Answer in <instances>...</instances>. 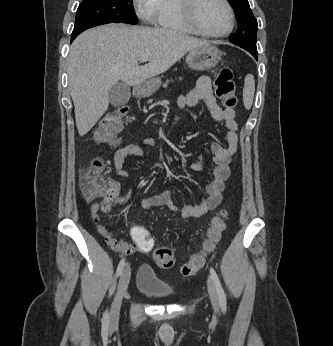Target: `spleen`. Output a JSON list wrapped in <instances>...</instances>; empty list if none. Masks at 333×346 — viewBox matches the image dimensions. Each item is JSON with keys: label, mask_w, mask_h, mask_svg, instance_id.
I'll use <instances>...</instances> for the list:
<instances>
[{"label": "spleen", "mask_w": 333, "mask_h": 346, "mask_svg": "<svg viewBox=\"0 0 333 346\" xmlns=\"http://www.w3.org/2000/svg\"><path fill=\"white\" fill-rule=\"evenodd\" d=\"M255 93V80L252 74L245 77L243 89V102L246 109H250Z\"/></svg>", "instance_id": "spleen-1"}]
</instances>
